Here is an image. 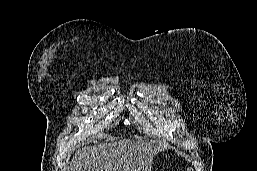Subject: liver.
<instances>
[{
  "label": "liver",
  "mask_w": 257,
  "mask_h": 171,
  "mask_svg": "<svg viewBox=\"0 0 257 171\" xmlns=\"http://www.w3.org/2000/svg\"><path fill=\"white\" fill-rule=\"evenodd\" d=\"M158 151V146L142 138L82 146L73 156L68 171H151Z\"/></svg>",
  "instance_id": "6515ba94"
}]
</instances>
